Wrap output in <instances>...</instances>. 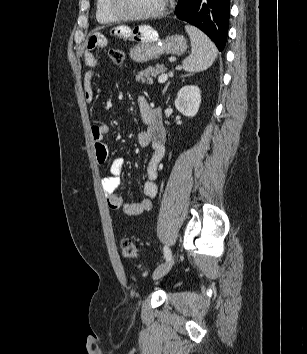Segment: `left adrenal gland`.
Listing matches in <instances>:
<instances>
[{
  "label": "left adrenal gland",
  "instance_id": "left-adrenal-gland-1",
  "mask_svg": "<svg viewBox=\"0 0 307 354\" xmlns=\"http://www.w3.org/2000/svg\"><path fill=\"white\" fill-rule=\"evenodd\" d=\"M169 85H170V82H168V83L166 84V86L164 87V89H163V94L167 91Z\"/></svg>",
  "mask_w": 307,
  "mask_h": 354
}]
</instances>
